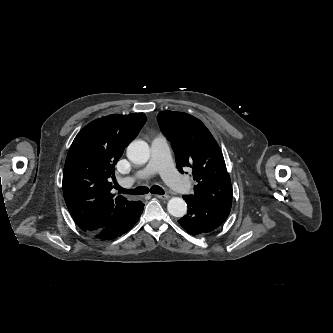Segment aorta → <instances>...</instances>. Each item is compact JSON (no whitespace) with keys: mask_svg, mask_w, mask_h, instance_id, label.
Segmentation results:
<instances>
[{"mask_svg":"<svg viewBox=\"0 0 333 333\" xmlns=\"http://www.w3.org/2000/svg\"><path fill=\"white\" fill-rule=\"evenodd\" d=\"M127 157L135 164H145L150 157V148L145 141L135 140L127 147ZM168 212L174 217H182L187 212L186 202L179 197H173L167 204Z\"/></svg>","mask_w":333,"mask_h":333,"instance_id":"aorta-1","label":"aorta"}]
</instances>
